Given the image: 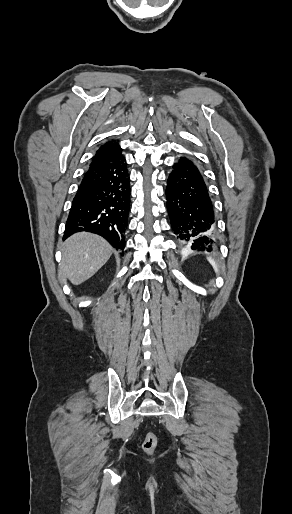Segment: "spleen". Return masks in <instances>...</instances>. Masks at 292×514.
<instances>
[{
	"mask_svg": "<svg viewBox=\"0 0 292 514\" xmlns=\"http://www.w3.org/2000/svg\"><path fill=\"white\" fill-rule=\"evenodd\" d=\"M208 262H210L211 266H213L216 274H218L219 270H218V266L216 264V262H214V260H212V258H207Z\"/></svg>",
	"mask_w": 292,
	"mask_h": 514,
	"instance_id": "spleen-1",
	"label": "spleen"
}]
</instances>
